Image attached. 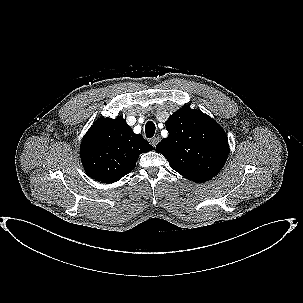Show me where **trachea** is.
<instances>
[{
    "mask_svg": "<svg viewBox=\"0 0 303 303\" xmlns=\"http://www.w3.org/2000/svg\"><path fill=\"white\" fill-rule=\"evenodd\" d=\"M155 124L152 121H148L145 125V133L147 138H151L155 134Z\"/></svg>",
    "mask_w": 303,
    "mask_h": 303,
    "instance_id": "3493384b",
    "label": "trachea"
}]
</instances>
